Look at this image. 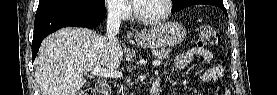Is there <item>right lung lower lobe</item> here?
I'll list each match as a JSON object with an SVG mask.
<instances>
[{
	"mask_svg": "<svg viewBox=\"0 0 277 95\" xmlns=\"http://www.w3.org/2000/svg\"><path fill=\"white\" fill-rule=\"evenodd\" d=\"M105 17V6L94 9H53L36 13L32 41V61L42 40L62 27H96Z\"/></svg>",
	"mask_w": 277,
	"mask_h": 95,
	"instance_id": "1",
	"label": "right lung lower lobe"
}]
</instances>
